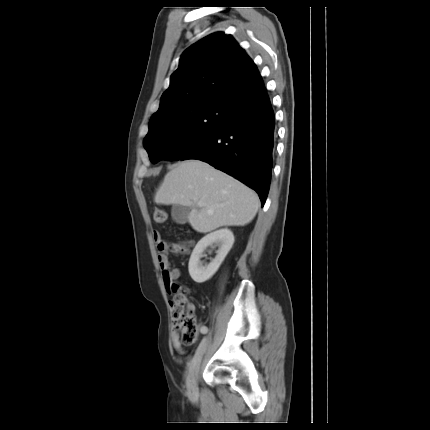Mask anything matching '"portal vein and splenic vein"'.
I'll use <instances>...</instances> for the list:
<instances>
[{"label": "portal vein and splenic vein", "mask_w": 430, "mask_h": 430, "mask_svg": "<svg viewBox=\"0 0 430 430\" xmlns=\"http://www.w3.org/2000/svg\"><path fill=\"white\" fill-rule=\"evenodd\" d=\"M195 202H196V204L198 206H203L204 205V203L201 200H195Z\"/></svg>", "instance_id": "portal-vein-and-splenic-vein-1"}]
</instances>
